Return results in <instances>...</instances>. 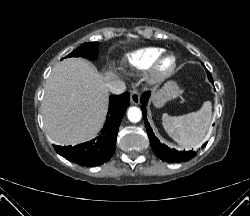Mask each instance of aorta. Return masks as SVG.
I'll list each match as a JSON object with an SVG mask.
<instances>
[{"mask_svg":"<svg viewBox=\"0 0 250 216\" xmlns=\"http://www.w3.org/2000/svg\"><path fill=\"white\" fill-rule=\"evenodd\" d=\"M127 116L131 122L136 123V122H139L141 120L142 113L138 107H131L128 110Z\"/></svg>","mask_w":250,"mask_h":216,"instance_id":"762f6f07","label":"aorta"}]
</instances>
